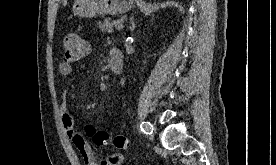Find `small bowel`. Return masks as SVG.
<instances>
[{
  "label": "small bowel",
  "instance_id": "small-bowel-1",
  "mask_svg": "<svg viewBox=\"0 0 276 165\" xmlns=\"http://www.w3.org/2000/svg\"><path fill=\"white\" fill-rule=\"evenodd\" d=\"M111 55H117L121 58V53L116 49L110 52V56ZM85 67H86L85 64H80L81 69H84ZM72 72H73V66L71 64L62 62L59 65V73L61 74V76L68 77L72 74ZM60 110H61L62 122L65 128L66 134L69 137V139L73 142V144L76 146L80 154L82 155L85 165H120L121 164L122 156L117 153L109 155L100 163L96 161L94 152L91 149L90 145L76 128V118L67 107V95L65 92L62 95Z\"/></svg>",
  "mask_w": 276,
  "mask_h": 165
}]
</instances>
